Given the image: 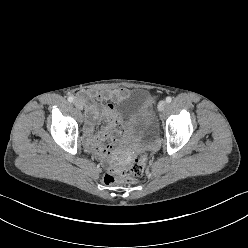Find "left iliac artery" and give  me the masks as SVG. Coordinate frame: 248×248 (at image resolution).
<instances>
[{"label":"left iliac artery","mask_w":248,"mask_h":248,"mask_svg":"<svg viewBox=\"0 0 248 248\" xmlns=\"http://www.w3.org/2000/svg\"><path fill=\"white\" fill-rule=\"evenodd\" d=\"M172 101V98L170 97V96H168L167 98H166V102L167 103H170Z\"/></svg>","instance_id":"44dca946"}]
</instances>
